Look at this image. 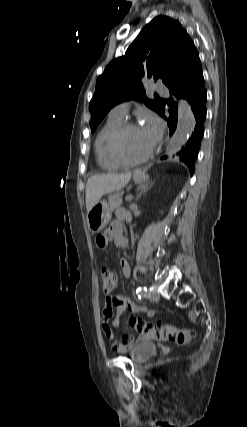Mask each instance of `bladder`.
<instances>
[{"label": "bladder", "instance_id": "bladder-1", "mask_svg": "<svg viewBox=\"0 0 247 427\" xmlns=\"http://www.w3.org/2000/svg\"><path fill=\"white\" fill-rule=\"evenodd\" d=\"M157 351V347L153 343H140L132 347L128 355L135 363H143L152 358Z\"/></svg>", "mask_w": 247, "mask_h": 427}]
</instances>
